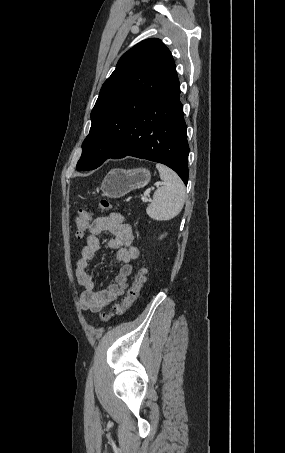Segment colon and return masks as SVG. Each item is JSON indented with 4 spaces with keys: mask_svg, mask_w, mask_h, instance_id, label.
<instances>
[{
    "mask_svg": "<svg viewBox=\"0 0 285 453\" xmlns=\"http://www.w3.org/2000/svg\"><path fill=\"white\" fill-rule=\"evenodd\" d=\"M102 210H109L113 206L107 200H102L99 204ZM91 219V212L86 209L79 210L76 218H75V225H76V238L78 240L82 239L85 235L86 231L89 228ZM146 280V269L141 267L137 270L133 277V282L131 287L129 288L127 294L122 298L121 302L115 304L111 311L108 313H103L101 315V319L103 321H107L111 319L113 316L122 315L125 311H127L133 303L139 298L140 291L143 287V284Z\"/></svg>",
    "mask_w": 285,
    "mask_h": 453,
    "instance_id": "colon-1",
    "label": "colon"
}]
</instances>
